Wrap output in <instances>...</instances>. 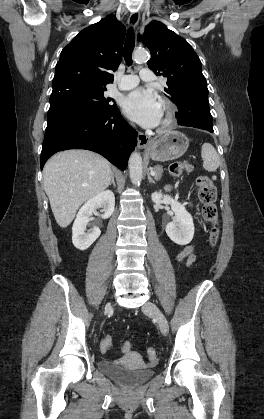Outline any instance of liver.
Returning <instances> with one entry per match:
<instances>
[{
	"label": "liver",
	"instance_id": "1",
	"mask_svg": "<svg viewBox=\"0 0 264 419\" xmlns=\"http://www.w3.org/2000/svg\"><path fill=\"white\" fill-rule=\"evenodd\" d=\"M112 178L111 164L88 150H66L52 156L44 166V190L56 222L66 228L78 208L103 192Z\"/></svg>",
	"mask_w": 264,
	"mask_h": 419
}]
</instances>
